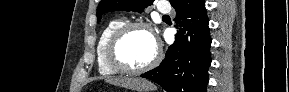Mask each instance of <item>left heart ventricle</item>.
<instances>
[{
    "mask_svg": "<svg viewBox=\"0 0 289 92\" xmlns=\"http://www.w3.org/2000/svg\"><path fill=\"white\" fill-rule=\"evenodd\" d=\"M156 45L152 34L146 29L131 30L119 47L121 59L132 67H141L152 60Z\"/></svg>",
    "mask_w": 289,
    "mask_h": 92,
    "instance_id": "obj_1",
    "label": "left heart ventricle"
}]
</instances>
